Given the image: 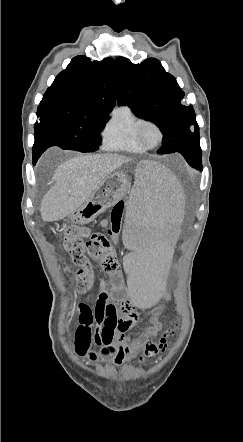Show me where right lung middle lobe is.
Here are the masks:
<instances>
[{
    "instance_id": "obj_1",
    "label": "right lung middle lobe",
    "mask_w": 243,
    "mask_h": 442,
    "mask_svg": "<svg viewBox=\"0 0 243 442\" xmlns=\"http://www.w3.org/2000/svg\"><path fill=\"white\" fill-rule=\"evenodd\" d=\"M108 112H83L66 105L42 100L38 106L33 149L45 151L51 146L80 152H94L101 143L99 131L107 122Z\"/></svg>"
}]
</instances>
